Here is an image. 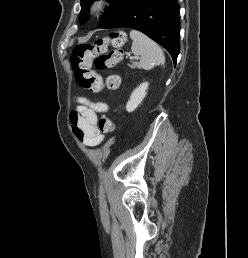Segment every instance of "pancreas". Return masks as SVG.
<instances>
[{"label": "pancreas", "instance_id": "pancreas-1", "mask_svg": "<svg viewBox=\"0 0 248 258\" xmlns=\"http://www.w3.org/2000/svg\"><path fill=\"white\" fill-rule=\"evenodd\" d=\"M130 67H131L132 69H135V68L138 67V63H137V62H132V64L130 65Z\"/></svg>", "mask_w": 248, "mask_h": 258}]
</instances>
